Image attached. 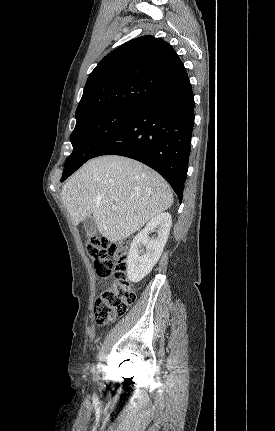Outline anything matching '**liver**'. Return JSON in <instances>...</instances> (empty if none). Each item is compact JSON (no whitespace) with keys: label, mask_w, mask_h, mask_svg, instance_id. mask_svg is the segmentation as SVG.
<instances>
[{"label":"liver","mask_w":275,"mask_h":431,"mask_svg":"<svg viewBox=\"0 0 275 431\" xmlns=\"http://www.w3.org/2000/svg\"><path fill=\"white\" fill-rule=\"evenodd\" d=\"M61 196L75 226L93 215L100 234L114 243L173 203L172 190L161 175L118 155L88 161L62 187Z\"/></svg>","instance_id":"1"}]
</instances>
